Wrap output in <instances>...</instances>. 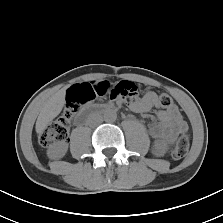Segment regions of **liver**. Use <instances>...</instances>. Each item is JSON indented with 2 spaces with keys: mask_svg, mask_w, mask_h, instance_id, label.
<instances>
[{
  "mask_svg": "<svg viewBox=\"0 0 223 223\" xmlns=\"http://www.w3.org/2000/svg\"><path fill=\"white\" fill-rule=\"evenodd\" d=\"M65 92V88L59 90L44 103L36 121V132L38 134H42L48 124L62 111L65 104Z\"/></svg>",
  "mask_w": 223,
  "mask_h": 223,
  "instance_id": "obj_1",
  "label": "liver"
}]
</instances>
